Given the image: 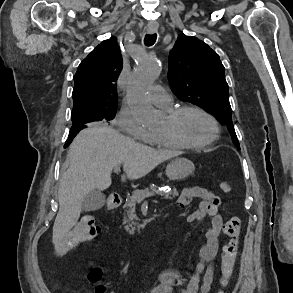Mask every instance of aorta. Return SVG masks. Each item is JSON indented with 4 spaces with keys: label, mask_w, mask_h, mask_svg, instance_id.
I'll list each match as a JSON object with an SVG mask.
<instances>
[{
    "label": "aorta",
    "mask_w": 293,
    "mask_h": 293,
    "mask_svg": "<svg viewBox=\"0 0 293 293\" xmlns=\"http://www.w3.org/2000/svg\"><path fill=\"white\" fill-rule=\"evenodd\" d=\"M159 72V60L147 55L139 61L128 83L127 95L130 108L135 117L147 126L157 123L155 111L147 101V92L159 76Z\"/></svg>",
    "instance_id": "1"
}]
</instances>
